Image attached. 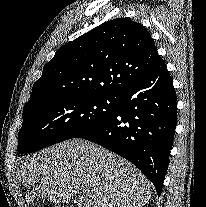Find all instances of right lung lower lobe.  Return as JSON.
<instances>
[{
  "label": "right lung lower lobe",
  "instance_id": "obj_1",
  "mask_svg": "<svg viewBox=\"0 0 206 207\" xmlns=\"http://www.w3.org/2000/svg\"><path fill=\"white\" fill-rule=\"evenodd\" d=\"M117 110L76 138L95 142L136 165L161 194L177 122L176 94L160 58L117 95Z\"/></svg>",
  "mask_w": 206,
  "mask_h": 207
}]
</instances>
